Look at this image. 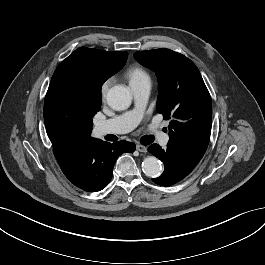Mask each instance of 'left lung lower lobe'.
<instances>
[{"instance_id":"obj_1","label":"left lung lower lobe","mask_w":265,"mask_h":265,"mask_svg":"<svg viewBox=\"0 0 265 265\" xmlns=\"http://www.w3.org/2000/svg\"><path fill=\"white\" fill-rule=\"evenodd\" d=\"M148 150L164 162L165 169L162 175L158 178L152 179L156 184L165 187L174 185L191 172L183 167L170 150L161 149V147L157 144H152Z\"/></svg>"}]
</instances>
